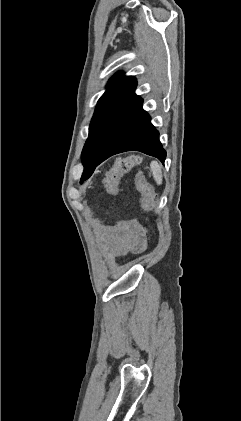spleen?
Returning a JSON list of instances; mask_svg holds the SVG:
<instances>
[{"instance_id":"spleen-1","label":"spleen","mask_w":241,"mask_h":421,"mask_svg":"<svg viewBox=\"0 0 241 421\" xmlns=\"http://www.w3.org/2000/svg\"><path fill=\"white\" fill-rule=\"evenodd\" d=\"M150 167L156 183L158 185L162 184V171L160 164L157 161H152Z\"/></svg>"}]
</instances>
